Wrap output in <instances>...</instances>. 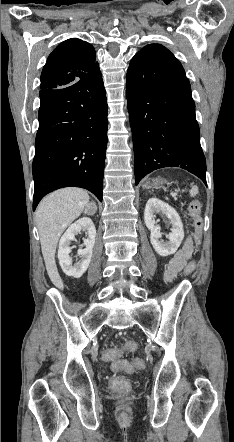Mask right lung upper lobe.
Masks as SVG:
<instances>
[{
	"label": "right lung upper lobe",
	"mask_w": 234,
	"mask_h": 442,
	"mask_svg": "<svg viewBox=\"0 0 234 442\" xmlns=\"http://www.w3.org/2000/svg\"><path fill=\"white\" fill-rule=\"evenodd\" d=\"M93 46L77 38L59 44L49 55L41 73V89L74 84L99 67Z\"/></svg>",
	"instance_id": "1"
}]
</instances>
